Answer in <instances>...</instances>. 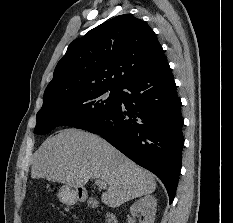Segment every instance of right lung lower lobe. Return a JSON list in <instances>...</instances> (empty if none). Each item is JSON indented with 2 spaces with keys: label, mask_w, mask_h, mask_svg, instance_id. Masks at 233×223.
Wrapping results in <instances>:
<instances>
[{
  "label": "right lung lower lobe",
  "mask_w": 233,
  "mask_h": 223,
  "mask_svg": "<svg viewBox=\"0 0 233 223\" xmlns=\"http://www.w3.org/2000/svg\"><path fill=\"white\" fill-rule=\"evenodd\" d=\"M118 104L79 129L101 135L164 183L172 202L184 144L181 101L171 69L144 74L119 88Z\"/></svg>",
  "instance_id": "obj_1"
}]
</instances>
